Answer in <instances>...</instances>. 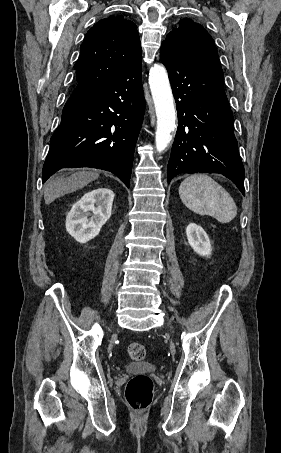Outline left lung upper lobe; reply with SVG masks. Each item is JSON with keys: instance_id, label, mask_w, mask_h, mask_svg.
Listing matches in <instances>:
<instances>
[{"instance_id": "1", "label": "left lung upper lobe", "mask_w": 281, "mask_h": 453, "mask_svg": "<svg viewBox=\"0 0 281 453\" xmlns=\"http://www.w3.org/2000/svg\"><path fill=\"white\" fill-rule=\"evenodd\" d=\"M179 57L191 62H214L219 58L214 41L207 31L190 19H182L163 41Z\"/></svg>"}]
</instances>
